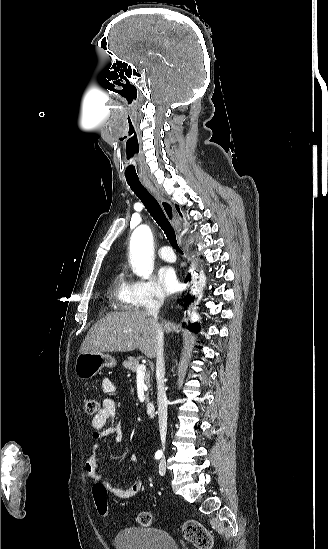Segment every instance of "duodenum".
Wrapping results in <instances>:
<instances>
[{
  "label": "duodenum",
  "instance_id": "obj_1",
  "mask_svg": "<svg viewBox=\"0 0 328 549\" xmlns=\"http://www.w3.org/2000/svg\"><path fill=\"white\" fill-rule=\"evenodd\" d=\"M146 412L149 416L154 417L156 414V405L153 402H148L145 406Z\"/></svg>",
  "mask_w": 328,
  "mask_h": 549
}]
</instances>
